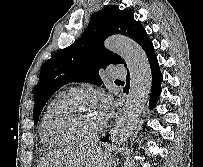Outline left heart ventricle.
<instances>
[{
	"label": "left heart ventricle",
	"instance_id": "b2bd125f",
	"mask_svg": "<svg viewBox=\"0 0 203 167\" xmlns=\"http://www.w3.org/2000/svg\"><path fill=\"white\" fill-rule=\"evenodd\" d=\"M103 125L99 112L85 98L75 101L66 112L53 123V127L70 137H87L97 132Z\"/></svg>",
	"mask_w": 203,
	"mask_h": 167
}]
</instances>
